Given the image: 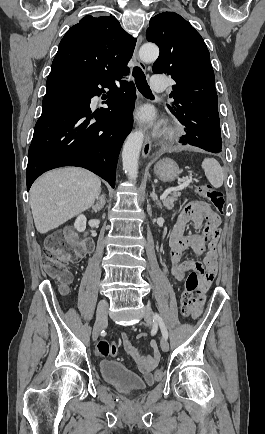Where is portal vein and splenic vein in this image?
Instances as JSON below:
<instances>
[{"label":"portal vein and splenic vein","mask_w":265,"mask_h":434,"mask_svg":"<svg viewBox=\"0 0 265 434\" xmlns=\"http://www.w3.org/2000/svg\"><path fill=\"white\" fill-rule=\"evenodd\" d=\"M190 182H192V178H187V180H185V182H183V184H179V186H177V188H168V190H166V192H164V194H162V196H160V200H165V198H167L168 194H170V192H177V190H183V188H187V186H189Z\"/></svg>","instance_id":"obj_1"}]
</instances>
